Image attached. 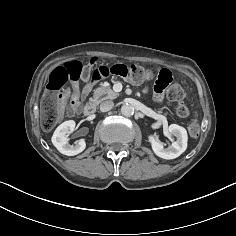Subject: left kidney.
Returning a JSON list of instances; mask_svg holds the SVG:
<instances>
[{"instance_id":"1","label":"left kidney","mask_w":236,"mask_h":236,"mask_svg":"<svg viewBox=\"0 0 236 236\" xmlns=\"http://www.w3.org/2000/svg\"><path fill=\"white\" fill-rule=\"evenodd\" d=\"M168 133L176 137L168 148H164L163 143L158 141L153 135L148 136L154 153L163 159H175L179 157L187 148L188 135L185 128L171 124Z\"/></svg>"}]
</instances>
